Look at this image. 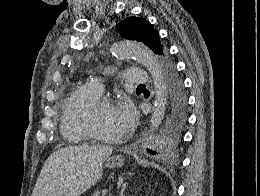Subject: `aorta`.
<instances>
[{"mask_svg":"<svg viewBox=\"0 0 260 196\" xmlns=\"http://www.w3.org/2000/svg\"><path fill=\"white\" fill-rule=\"evenodd\" d=\"M111 51L119 58H135L149 71L155 90L151 125L152 128H156L165 112L166 101L165 79L157 57L144 45L131 41H121L118 44L113 45Z\"/></svg>","mask_w":260,"mask_h":196,"instance_id":"762f6f07","label":"aorta"}]
</instances>
